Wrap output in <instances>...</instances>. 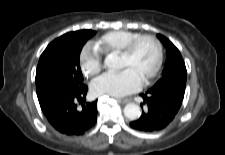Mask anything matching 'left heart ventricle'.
<instances>
[{
    "mask_svg": "<svg viewBox=\"0 0 225 155\" xmlns=\"http://www.w3.org/2000/svg\"><path fill=\"white\" fill-rule=\"evenodd\" d=\"M156 60V48L150 40L141 41L131 56L120 55L119 67L133 69L143 80L152 71Z\"/></svg>",
    "mask_w": 225,
    "mask_h": 155,
    "instance_id": "1",
    "label": "left heart ventricle"
}]
</instances>
